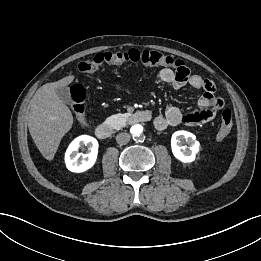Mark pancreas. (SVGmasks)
Returning <instances> with one entry per match:
<instances>
[{"label":"pancreas","instance_id":"pancreas-1","mask_svg":"<svg viewBox=\"0 0 261 261\" xmlns=\"http://www.w3.org/2000/svg\"><path fill=\"white\" fill-rule=\"evenodd\" d=\"M128 120L127 114H115L106 119V122L114 129L119 130L126 125Z\"/></svg>","mask_w":261,"mask_h":261}]
</instances>
